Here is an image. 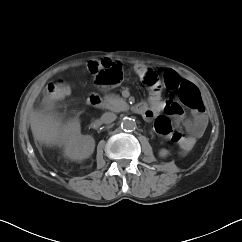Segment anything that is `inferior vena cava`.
I'll use <instances>...</instances> for the list:
<instances>
[{"mask_svg":"<svg viewBox=\"0 0 242 242\" xmlns=\"http://www.w3.org/2000/svg\"><path fill=\"white\" fill-rule=\"evenodd\" d=\"M117 116L113 112H105L101 116V121L105 124H110L116 120Z\"/></svg>","mask_w":242,"mask_h":242,"instance_id":"obj_1","label":"inferior vena cava"}]
</instances>
